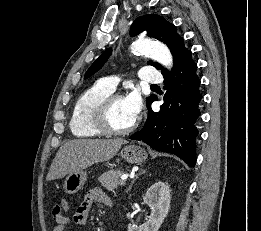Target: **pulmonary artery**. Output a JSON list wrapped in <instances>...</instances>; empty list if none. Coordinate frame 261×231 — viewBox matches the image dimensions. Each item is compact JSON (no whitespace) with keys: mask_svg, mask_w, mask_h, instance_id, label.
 Segmentation results:
<instances>
[{"mask_svg":"<svg viewBox=\"0 0 261 231\" xmlns=\"http://www.w3.org/2000/svg\"><path fill=\"white\" fill-rule=\"evenodd\" d=\"M139 78L146 83H153L156 85L163 83L162 75L155 68L149 66L140 69ZM102 84L111 91H115L118 81L114 77H105L102 79Z\"/></svg>","mask_w":261,"mask_h":231,"instance_id":"1","label":"pulmonary artery"}]
</instances>
